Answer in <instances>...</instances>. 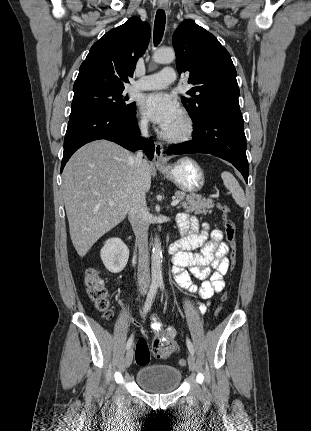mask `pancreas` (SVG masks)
<instances>
[{
    "label": "pancreas",
    "instance_id": "cf45deb5",
    "mask_svg": "<svg viewBox=\"0 0 311 431\" xmlns=\"http://www.w3.org/2000/svg\"><path fill=\"white\" fill-rule=\"evenodd\" d=\"M175 196L179 198V200H184L186 198V202H182L180 208H183L185 212H194V214H203V216H207V214H212V208H214L215 204H213L214 200H206L203 196H197V194H186V192H175Z\"/></svg>",
    "mask_w": 311,
    "mask_h": 431
}]
</instances>
